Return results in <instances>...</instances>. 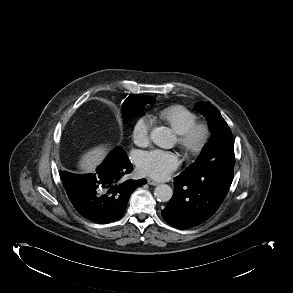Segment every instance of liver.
Returning a JSON list of instances; mask_svg holds the SVG:
<instances>
[{
	"mask_svg": "<svg viewBox=\"0 0 293 293\" xmlns=\"http://www.w3.org/2000/svg\"><path fill=\"white\" fill-rule=\"evenodd\" d=\"M108 150L107 145H100L90 149L81 157L78 165L79 169L83 172H93L96 166L104 160Z\"/></svg>",
	"mask_w": 293,
	"mask_h": 293,
	"instance_id": "6515ba94",
	"label": "liver"
}]
</instances>
